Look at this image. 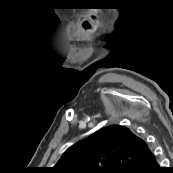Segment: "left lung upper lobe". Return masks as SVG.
<instances>
[{"label": "left lung upper lobe", "instance_id": "5c2ea615", "mask_svg": "<svg viewBox=\"0 0 173 173\" xmlns=\"http://www.w3.org/2000/svg\"><path fill=\"white\" fill-rule=\"evenodd\" d=\"M152 154L146 142L124 126L100 129L71 146L55 173H137Z\"/></svg>", "mask_w": 173, "mask_h": 173}]
</instances>
